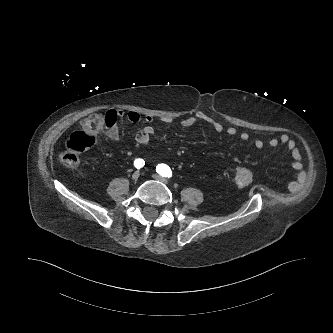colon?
Instances as JSON below:
<instances>
[{
	"mask_svg": "<svg viewBox=\"0 0 333 333\" xmlns=\"http://www.w3.org/2000/svg\"><path fill=\"white\" fill-rule=\"evenodd\" d=\"M116 120L115 111L94 113L85 118L79 130L65 142L64 151L60 157L62 163L71 170L77 169L81 155L93 147L107 130L114 127ZM234 178L239 186L245 187L253 181V171L246 167H239L235 171Z\"/></svg>",
	"mask_w": 333,
	"mask_h": 333,
	"instance_id": "1",
	"label": "colon"
}]
</instances>
